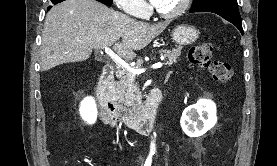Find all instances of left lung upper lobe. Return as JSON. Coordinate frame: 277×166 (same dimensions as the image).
Here are the masks:
<instances>
[{
    "label": "left lung upper lobe",
    "instance_id": "5c2ea615",
    "mask_svg": "<svg viewBox=\"0 0 277 166\" xmlns=\"http://www.w3.org/2000/svg\"><path fill=\"white\" fill-rule=\"evenodd\" d=\"M215 6L238 8L237 0H193L190 12Z\"/></svg>",
    "mask_w": 277,
    "mask_h": 166
}]
</instances>
